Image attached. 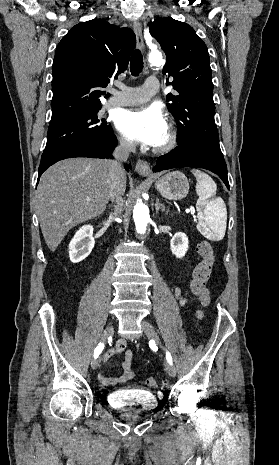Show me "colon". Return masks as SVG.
Returning a JSON list of instances; mask_svg holds the SVG:
<instances>
[{"label": "colon", "instance_id": "5ec220e1", "mask_svg": "<svg viewBox=\"0 0 279 465\" xmlns=\"http://www.w3.org/2000/svg\"><path fill=\"white\" fill-rule=\"evenodd\" d=\"M197 251L201 260L194 269L191 290L200 299L201 304L206 307L210 303V292L207 288V283L215 262V252L213 246L206 241L198 245ZM146 384L148 387L157 388L161 382L156 377H148Z\"/></svg>", "mask_w": 279, "mask_h": 465}]
</instances>
